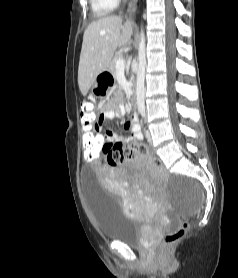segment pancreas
<instances>
[{"instance_id": "cf45deb5", "label": "pancreas", "mask_w": 238, "mask_h": 278, "mask_svg": "<svg viewBox=\"0 0 238 278\" xmlns=\"http://www.w3.org/2000/svg\"><path fill=\"white\" fill-rule=\"evenodd\" d=\"M122 58V54L121 53H117L114 55L113 59L110 62V66H109V71L112 74L113 77H116L117 75V69H116V62Z\"/></svg>"}]
</instances>
